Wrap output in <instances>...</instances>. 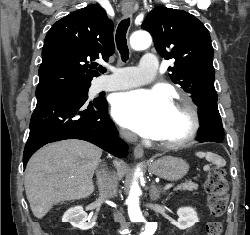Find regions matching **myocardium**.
<instances>
[{
	"label": "myocardium",
	"mask_w": 250,
	"mask_h": 235,
	"mask_svg": "<svg viewBox=\"0 0 250 235\" xmlns=\"http://www.w3.org/2000/svg\"><path fill=\"white\" fill-rule=\"evenodd\" d=\"M173 107L187 114L189 118V128L187 132L179 138L167 141L166 140L156 141L158 144H160L165 148H179L192 143L197 137L201 126L199 111L191 99L181 98L174 103Z\"/></svg>",
	"instance_id": "1"
}]
</instances>
